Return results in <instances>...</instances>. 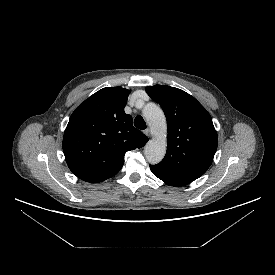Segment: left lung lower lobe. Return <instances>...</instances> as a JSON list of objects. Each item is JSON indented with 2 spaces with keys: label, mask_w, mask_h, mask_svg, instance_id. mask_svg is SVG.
<instances>
[{
  "label": "left lung lower lobe",
  "mask_w": 275,
  "mask_h": 275,
  "mask_svg": "<svg viewBox=\"0 0 275 275\" xmlns=\"http://www.w3.org/2000/svg\"><path fill=\"white\" fill-rule=\"evenodd\" d=\"M150 169L156 177L170 186H185L193 181L185 176L165 170L157 165H150Z\"/></svg>",
  "instance_id": "1"
}]
</instances>
